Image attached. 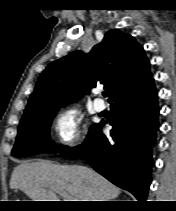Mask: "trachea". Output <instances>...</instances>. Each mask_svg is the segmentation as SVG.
Returning <instances> with one entry per match:
<instances>
[{"instance_id": "obj_1", "label": "trachea", "mask_w": 176, "mask_h": 211, "mask_svg": "<svg viewBox=\"0 0 176 211\" xmlns=\"http://www.w3.org/2000/svg\"><path fill=\"white\" fill-rule=\"evenodd\" d=\"M102 94H103L104 97L108 96V92H103Z\"/></svg>"}]
</instances>
